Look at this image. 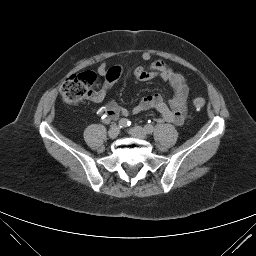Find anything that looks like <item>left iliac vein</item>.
I'll return each mask as SVG.
<instances>
[{"mask_svg":"<svg viewBox=\"0 0 256 256\" xmlns=\"http://www.w3.org/2000/svg\"><path fill=\"white\" fill-rule=\"evenodd\" d=\"M129 133L139 139H146L147 135L144 128L140 126L133 127L129 130Z\"/></svg>","mask_w":256,"mask_h":256,"instance_id":"4c4485c4","label":"left iliac vein"}]
</instances>
